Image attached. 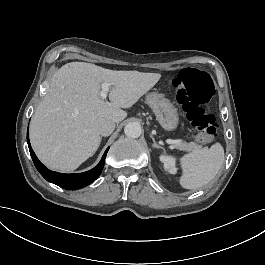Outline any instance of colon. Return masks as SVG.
<instances>
[{
	"label": "colon",
	"instance_id": "1",
	"mask_svg": "<svg viewBox=\"0 0 265 265\" xmlns=\"http://www.w3.org/2000/svg\"><path fill=\"white\" fill-rule=\"evenodd\" d=\"M177 90L186 95L184 110L201 143L211 144L218 138V127L209 103L215 98L216 89L209 77L193 67L181 69L175 78Z\"/></svg>",
	"mask_w": 265,
	"mask_h": 265
}]
</instances>
